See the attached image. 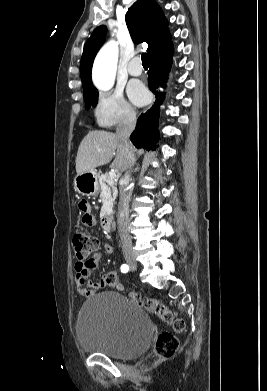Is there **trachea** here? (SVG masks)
<instances>
[{
    "label": "trachea",
    "instance_id": "3493384b",
    "mask_svg": "<svg viewBox=\"0 0 267 391\" xmlns=\"http://www.w3.org/2000/svg\"><path fill=\"white\" fill-rule=\"evenodd\" d=\"M142 65H148V60H147V54L146 53H143L142 54Z\"/></svg>",
    "mask_w": 267,
    "mask_h": 391
}]
</instances>
